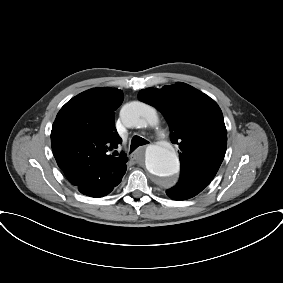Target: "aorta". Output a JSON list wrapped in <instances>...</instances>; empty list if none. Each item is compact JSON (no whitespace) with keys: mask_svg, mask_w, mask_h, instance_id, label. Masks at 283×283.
Segmentation results:
<instances>
[{"mask_svg":"<svg viewBox=\"0 0 283 283\" xmlns=\"http://www.w3.org/2000/svg\"><path fill=\"white\" fill-rule=\"evenodd\" d=\"M124 124L133 128H145L158 123L157 111L154 107L143 102L126 104L121 110ZM145 164L148 172L164 180L179 172V159L174 149L168 145L154 144L146 149ZM166 186L173 184L165 182Z\"/></svg>","mask_w":283,"mask_h":283,"instance_id":"1","label":"aorta"}]
</instances>
